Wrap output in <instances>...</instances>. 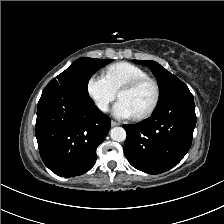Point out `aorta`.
Returning <instances> with one entry per match:
<instances>
[{
    "label": "aorta",
    "instance_id": "aorta-1",
    "mask_svg": "<svg viewBox=\"0 0 224 224\" xmlns=\"http://www.w3.org/2000/svg\"><path fill=\"white\" fill-rule=\"evenodd\" d=\"M126 131L122 127H114L110 131V137L113 141L123 142L126 139Z\"/></svg>",
    "mask_w": 224,
    "mask_h": 224
}]
</instances>
